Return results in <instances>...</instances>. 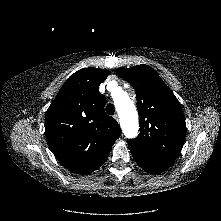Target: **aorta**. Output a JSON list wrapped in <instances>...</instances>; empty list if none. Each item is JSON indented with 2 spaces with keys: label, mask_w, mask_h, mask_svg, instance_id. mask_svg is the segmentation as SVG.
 Segmentation results:
<instances>
[{
  "label": "aorta",
  "mask_w": 221,
  "mask_h": 221,
  "mask_svg": "<svg viewBox=\"0 0 221 221\" xmlns=\"http://www.w3.org/2000/svg\"><path fill=\"white\" fill-rule=\"evenodd\" d=\"M114 103L119 114L124 135L129 139L135 138L138 134L139 122L134 103L128 95L122 91L114 96Z\"/></svg>",
  "instance_id": "obj_1"
}]
</instances>
